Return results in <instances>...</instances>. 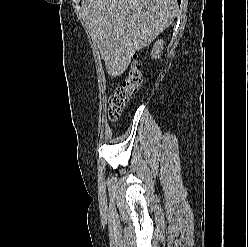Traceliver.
Listing matches in <instances>:
<instances>
[{
    "label": "liver",
    "instance_id": "obj_1",
    "mask_svg": "<svg viewBox=\"0 0 248 247\" xmlns=\"http://www.w3.org/2000/svg\"><path fill=\"white\" fill-rule=\"evenodd\" d=\"M81 4L89 34L112 77L121 76L133 53L172 24L178 9L176 0H82Z\"/></svg>",
    "mask_w": 248,
    "mask_h": 247
}]
</instances>
